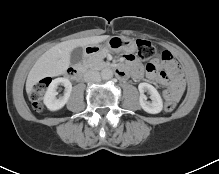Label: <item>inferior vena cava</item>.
<instances>
[{"mask_svg": "<svg viewBox=\"0 0 219 174\" xmlns=\"http://www.w3.org/2000/svg\"><path fill=\"white\" fill-rule=\"evenodd\" d=\"M100 79H101L100 73L98 71H95V70H88L84 74V81L85 82L95 83V82H99Z\"/></svg>", "mask_w": 219, "mask_h": 174, "instance_id": "1", "label": "inferior vena cava"}]
</instances>
